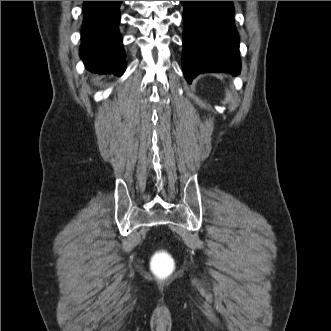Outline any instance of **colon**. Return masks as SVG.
Returning <instances> with one entry per match:
<instances>
[{
	"mask_svg": "<svg viewBox=\"0 0 331 331\" xmlns=\"http://www.w3.org/2000/svg\"><path fill=\"white\" fill-rule=\"evenodd\" d=\"M174 261L172 257L165 252H158L152 259L153 273L159 279H165L170 276L174 271Z\"/></svg>",
	"mask_w": 331,
	"mask_h": 331,
	"instance_id": "obj_1",
	"label": "colon"
}]
</instances>
